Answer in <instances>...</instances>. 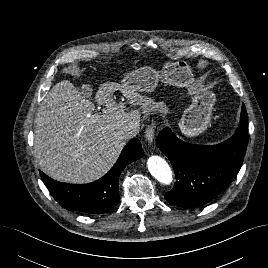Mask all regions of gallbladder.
<instances>
[{"label": "gallbladder", "mask_w": 268, "mask_h": 268, "mask_svg": "<svg viewBox=\"0 0 268 268\" xmlns=\"http://www.w3.org/2000/svg\"><path fill=\"white\" fill-rule=\"evenodd\" d=\"M91 92V88L90 87H83L82 88V94H84L85 96H89Z\"/></svg>", "instance_id": "bac80fb5"}]
</instances>
